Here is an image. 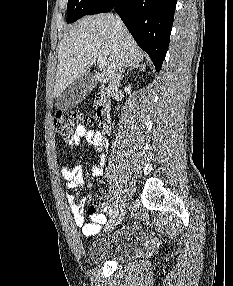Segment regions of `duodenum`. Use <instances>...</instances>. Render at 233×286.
Masks as SVG:
<instances>
[{
	"label": "duodenum",
	"instance_id": "1",
	"mask_svg": "<svg viewBox=\"0 0 233 286\" xmlns=\"http://www.w3.org/2000/svg\"><path fill=\"white\" fill-rule=\"evenodd\" d=\"M96 105V118L100 128L104 131L110 130V116H111V104L107 91L101 89L95 98Z\"/></svg>",
	"mask_w": 233,
	"mask_h": 286
}]
</instances>
